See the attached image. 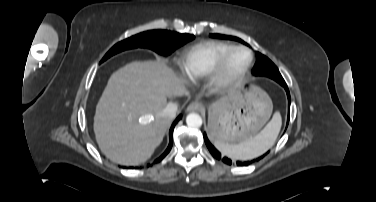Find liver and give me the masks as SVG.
Listing matches in <instances>:
<instances>
[{"instance_id":"obj_1","label":"liver","mask_w":376,"mask_h":202,"mask_svg":"<svg viewBox=\"0 0 376 202\" xmlns=\"http://www.w3.org/2000/svg\"><path fill=\"white\" fill-rule=\"evenodd\" d=\"M186 94L183 81L161 57L134 61L115 71L94 117L95 137L102 153L121 165L146 162L172 121L161 115L167 99Z\"/></svg>"}]
</instances>
